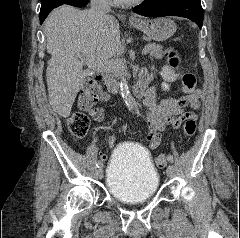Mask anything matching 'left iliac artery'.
<instances>
[{"mask_svg": "<svg viewBox=\"0 0 240 238\" xmlns=\"http://www.w3.org/2000/svg\"><path fill=\"white\" fill-rule=\"evenodd\" d=\"M167 159H168V161L171 162V163H173V161H174V158H173L172 155H168V156H167Z\"/></svg>", "mask_w": 240, "mask_h": 238, "instance_id": "1", "label": "left iliac artery"}]
</instances>
